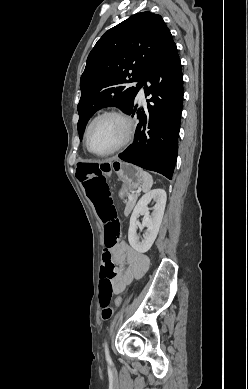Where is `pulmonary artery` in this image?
Segmentation results:
<instances>
[{
    "label": "pulmonary artery",
    "instance_id": "pulmonary-artery-1",
    "mask_svg": "<svg viewBox=\"0 0 248 389\" xmlns=\"http://www.w3.org/2000/svg\"><path fill=\"white\" fill-rule=\"evenodd\" d=\"M139 96H140V98L144 97V90H143V88L140 89Z\"/></svg>",
    "mask_w": 248,
    "mask_h": 389
}]
</instances>
